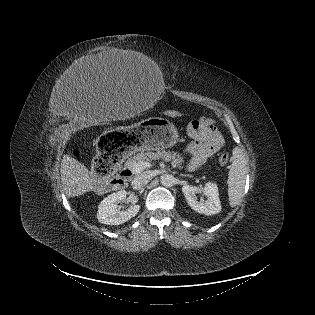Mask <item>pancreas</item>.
Wrapping results in <instances>:
<instances>
[{"label":"pancreas","instance_id":"1","mask_svg":"<svg viewBox=\"0 0 315 315\" xmlns=\"http://www.w3.org/2000/svg\"><path fill=\"white\" fill-rule=\"evenodd\" d=\"M163 159L166 162H170L173 167L182 169V163H184V157L176 152H170L165 150H157L156 152H140L134 157L128 159L125 167L132 170V168L140 162H148L150 160Z\"/></svg>","mask_w":315,"mask_h":315}]
</instances>
